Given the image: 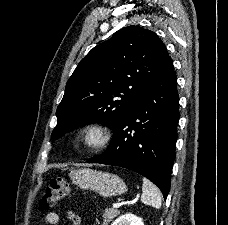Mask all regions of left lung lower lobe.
I'll return each mask as SVG.
<instances>
[{
  "label": "left lung lower lobe",
  "instance_id": "left-lung-lower-lobe-1",
  "mask_svg": "<svg viewBox=\"0 0 228 225\" xmlns=\"http://www.w3.org/2000/svg\"><path fill=\"white\" fill-rule=\"evenodd\" d=\"M176 84L171 59L155 82L122 116L113 129L108 149L87 162L135 171L156 184L166 199L170 190L179 121Z\"/></svg>",
  "mask_w": 228,
  "mask_h": 225
}]
</instances>
